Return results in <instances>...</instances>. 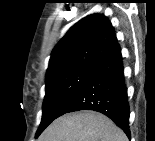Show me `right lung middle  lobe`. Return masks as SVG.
<instances>
[{
	"label": "right lung middle lobe",
	"mask_w": 155,
	"mask_h": 141,
	"mask_svg": "<svg viewBox=\"0 0 155 141\" xmlns=\"http://www.w3.org/2000/svg\"><path fill=\"white\" fill-rule=\"evenodd\" d=\"M95 69L75 68L46 79V94L43 101V113L36 138L56 118L61 109L90 77Z\"/></svg>",
	"instance_id": "1"
}]
</instances>
